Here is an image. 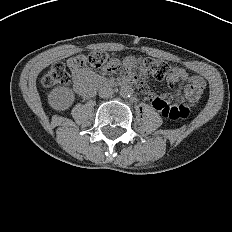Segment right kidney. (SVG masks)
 <instances>
[{"instance_id": "obj_1", "label": "right kidney", "mask_w": 232, "mask_h": 232, "mask_svg": "<svg viewBox=\"0 0 232 232\" xmlns=\"http://www.w3.org/2000/svg\"><path fill=\"white\" fill-rule=\"evenodd\" d=\"M74 99L73 91L68 87L62 86L55 87L48 95L49 105L57 111L68 109L74 102Z\"/></svg>"}]
</instances>
